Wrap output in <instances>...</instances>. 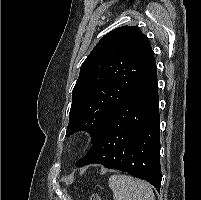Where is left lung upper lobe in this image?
Here are the masks:
<instances>
[{
	"mask_svg": "<svg viewBox=\"0 0 201 200\" xmlns=\"http://www.w3.org/2000/svg\"><path fill=\"white\" fill-rule=\"evenodd\" d=\"M154 67L150 42L139 28L106 34L81 65L66 136L87 131L93 143L113 109Z\"/></svg>",
	"mask_w": 201,
	"mask_h": 200,
	"instance_id": "obj_1",
	"label": "left lung upper lobe"
}]
</instances>
